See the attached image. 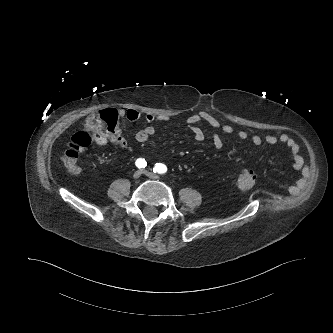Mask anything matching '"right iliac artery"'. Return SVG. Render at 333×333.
<instances>
[{"instance_id": "right-iliac-artery-1", "label": "right iliac artery", "mask_w": 333, "mask_h": 333, "mask_svg": "<svg viewBox=\"0 0 333 333\" xmlns=\"http://www.w3.org/2000/svg\"><path fill=\"white\" fill-rule=\"evenodd\" d=\"M135 165L140 168H145L147 166V162L144 158H138L135 162Z\"/></svg>"}]
</instances>
